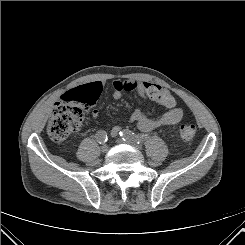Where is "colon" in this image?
I'll return each mask as SVG.
<instances>
[{
	"mask_svg": "<svg viewBox=\"0 0 245 245\" xmlns=\"http://www.w3.org/2000/svg\"><path fill=\"white\" fill-rule=\"evenodd\" d=\"M101 93V85L90 83L66 92L55 103L48 122V134L54 141H63L78 131L84 119V111L93 106ZM179 134L183 140H191L196 134L193 124H182Z\"/></svg>",
	"mask_w": 245,
	"mask_h": 245,
	"instance_id": "5ec220e1",
	"label": "colon"
}]
</instances>
